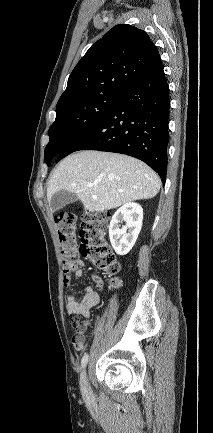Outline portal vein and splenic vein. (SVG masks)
<instances>
[{"mask_svg": "<svg viewBox=\"0 0 213 433\" xmlns=\"http://www.w3.org/2000/svg\"><path fill=\"white\" fill-rule=\"evenodd\" d=\"M87 185H88L89 187H93V186H96L97 183H88Z\"/></svg>", "mask_w": 213, "mask_h": 433, "instance_id": "portal-vein-and-splenic-vein-1", "label": "portal vein and splenic vein"}]
</instances>
